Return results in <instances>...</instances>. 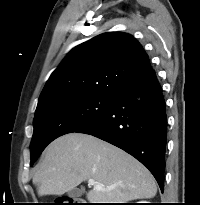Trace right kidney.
Returning <instances> with one entry per match:
<instances>
[{
    "instance_id": "1",
    "label": "right kidney",
    "mask_w": 200,
    "mask_h": 205,
    "mask_svg": "<svg viewBox=\"0 0 200 205\" xmlns=\"http://www.w3.org/2000/svg\"><path fill=\"white\" fill-rule=\"evenodd\" d=\"M138 203H149V202H147V201H140V202H138Z\"/></svg>"
}]
</instances>
